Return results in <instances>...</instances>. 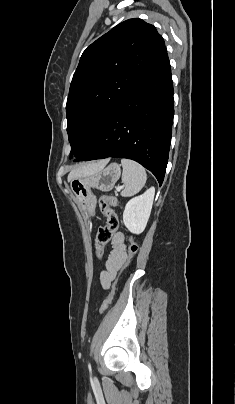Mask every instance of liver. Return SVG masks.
<instances>
[{
  "label": "liver",
  "mask_w": 235,
  "mask_h": 404,
  "mask_svg": "<svg viewBox=\"0 0 235 404\" xmlns=\"http://www.w3.org/2000/svg\"><path fill=\"white\" fill-rule=\"evenodd\" d=\"M107 162L108 160H100L99 162L83 164L73 169L68 175V182H71L75 178L85 177L96 173L97 171L103 169Z\"/></svg>",
  "instance_id": "6515ba94"
}]
</instances>
